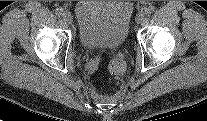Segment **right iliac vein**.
Listing matches in <instances>:
<instances>
[{
  "label": "right iliac vein",
  "instance_id": "63e3f726",
  "mask_svg": "<svg viewBox=\"0 0 207 121\" xmlns=\"http://www.w3.org/2000/svg\"><path fill=\"white\" fill-rule=\"evenodd\" d=\"M63 19L65 22H67L68 24H71L72 21H73V18H72V15L70 12H64V15H63Z\"/></svg>",
  "mask_w": 207,
  "mask_h": 121
}]
</instances>
